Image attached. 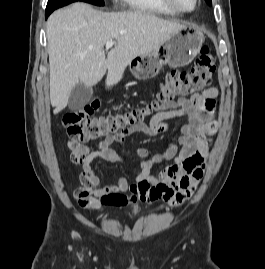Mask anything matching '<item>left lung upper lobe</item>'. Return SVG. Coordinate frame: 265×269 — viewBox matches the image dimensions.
<instances>
[{"mask_svg": "<svg viewBox=\"0 0 265 269\" xmlns=\"http://www.w3.org/2000/svg\"><path fill=\"white\" fill-rule=\"evenodd\" d=\"M205 1L207 2L208 5L212 4L211 0H205Z\"/></svg>", "mask_w": 265, "mask_h": 269, "instance_id": "5c2ea615", "label": "left lung upper lobe"}]
</instances>
